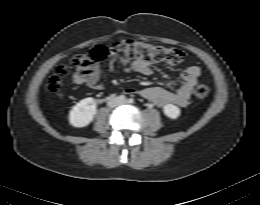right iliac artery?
Listing matches in <instances>:
<instances>
[{"instance_id": "obj_1", "label": "right iliac artery", "mask_w": 260, "mask_h": 205, "mask_svg": "<svg viewBox=\"0 0 260 205\" xmlns=\"http://www.w3.org/2000/svg\"><path fill=\"white\" fill-rule=\"evenodd\" d=\"M118 99L122 101V100H125L126 97H125L124 95H120V96L118 97Z\"/></svg>"}]
</instances>
